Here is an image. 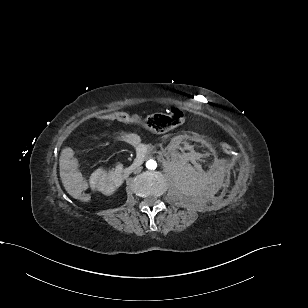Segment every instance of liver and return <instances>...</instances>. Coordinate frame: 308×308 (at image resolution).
Masks as SVG:
<instances>
[{"label":"liver","instance_id":"6515ba94","mask_svg":"<svg viewBox=\"0 0 308 308\" xmlns=\"http://www.w3.org/2000/svg\"><path fill=\"white\" fill-rule=\"evenodd\" d=\"M63 182H64V186H65L66 190L68 191V193L71 194V195H73L71 189L67 186V184H66V182H65L64 179H63Z\"/></svg>","mask_w":308,"mask_h":308}]
</instances>
